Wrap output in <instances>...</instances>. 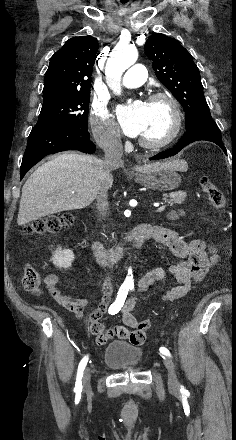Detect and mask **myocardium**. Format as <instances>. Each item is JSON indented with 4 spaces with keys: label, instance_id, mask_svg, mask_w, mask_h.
Segmentation results:
<instances>
[{
    "label": "myocardium",
    "instance_id": "1",
    "mask_svg": "<svg viewBox=\"0 0 236 440\" xmlns=\"http://www.w3.org/2000/svg\"><path fill=\"white\" fill-rule=\"evenodd\" d=\"M148 103L164 101L171 110L172 124L169 132L160 140L150 141L143 138L139 139V145L146 149H160L171 144L180 134L182 129V113L176 98L169 92L159 91L148 97Z\"/></svg>",
    "mask_w": 236,
    "mask_h": 440
}]
</instances>
